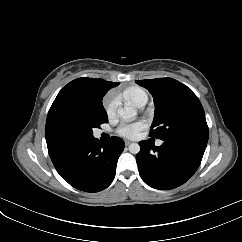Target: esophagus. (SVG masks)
<instances>
[{"mask_svg": "<svg viewBox=\"0 0 242 242\" xmlns=\"http://www.w3.org/2000/svg\"><path fill=\"white\" fill-rule=\"evenodd\" d=\"M129 144H131V141L126 140L125 145L128 146Z\"/></svg>", "mask_w": 242, "mask_h": 242, "instance_id": "34e87169", "label": "esophagus"}]
</instances>
